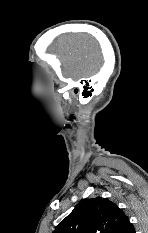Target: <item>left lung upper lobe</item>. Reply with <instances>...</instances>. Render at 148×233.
Instances as JSON below:
<instances>
[{
    "instance_id": "1",
    "label": "left lung upper lobe",
    "mask_w": 148,
    "mask_h": 233,
    "mask_svg": "<svg viewBox=\"0 0 148 233\" xmlns=\"http://www.w3.org/2000/svg\"><path fill=\"white\" fill-rule=\"evenodd\" d=\"M132 227L116 204L96 197L81 201L53 233H128Z\"/></svg>"
}]
</instances>
